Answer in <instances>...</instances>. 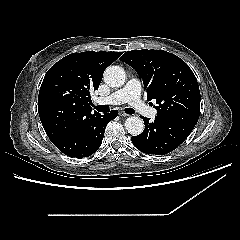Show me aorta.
Listing matches in <instances>:
<instances>
[{
  "instance_id": "obj_1",
  "label": "aorta",
  "mask_w": 240,
  "mask_h": 240,
  "mask_svg": "<svg viewBox=\"0 0 240 240\" xmlns=\"http://www.w3.org/2000/svg\"><path fill=\"white\" fill-rule=\"evenodd\" d=\"M125 71L120 66H110L104 72V81L110 87L119 88L125 83ZM125 128L133 136L140 135L144 130V122L140 117L130 116L125 121Z\"/></svg>"
}]
</instances>
